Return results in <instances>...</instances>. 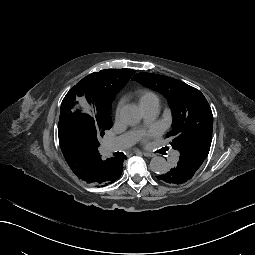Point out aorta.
Instances as JSON below:
<instances>
[{
  "instance_id": "aorta-1",
  "label": "aorta",
  "mask_w": 255,
  "mask_h": 255,
  "mask_svg": "<svg viewBox=\"0 0 255 255\" xmlns=\"http://www.w3.org/2000/svg\"><path fill=\"white\" fill-rule=\"evenodd\" d=\"M121 118L127 124H137L142 119L141 109L134 104L125 105L121 109ZM150 168L154 173L164 174L169 170V165L165 158L155 156L150 161Z\"/></svg>"
}]
</instances>
